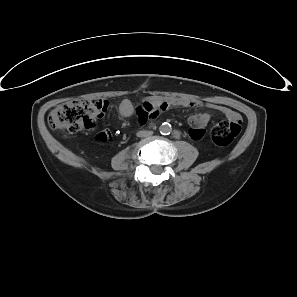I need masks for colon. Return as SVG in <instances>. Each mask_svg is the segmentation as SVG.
<instances>
[{
	"label": "colon",
	"instance_id": "5ec220e1",
	"mask_svg": "<svg viewBox=\"0 0 297 297\" xmlns=\"http://www.w3.org/2000/svg\"><path fill=\"white\" fill-rule=\"evenodd\" d=\"M108 109V102L103 99H79L63 103L54 108L48 116L52 129L76 133L83 129L93 128ZM242 119L240 115L232 120L217 123L211 132L213 143L226 146L240 133ZM109 137L106 133L98 135L99 141Z\"/></svg>",
	"mask_w": 297,
	"mask_h": 297
}]
</instances>
